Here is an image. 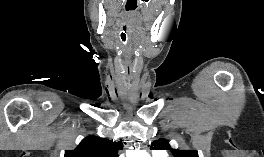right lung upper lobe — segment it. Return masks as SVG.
I'll return each instance as SVG.
<instances>
[{
    "label": "right lung upper lobe",
    "mask_w": 264,
    "mask_h": 157,
    "mask_svg": "<svg viewBox=\"0 0 264 157\" xmlns=\"http://www.w3.org/2000/svg\"><path fill=\"white\" fill-rule=\"evenodd\" d=\"M122 146L121 142L92 135L83 139L75 150H66L64 157H118Z\"/></svg>",
    "instance_id": "cb5924a9"
}]
</instances>
